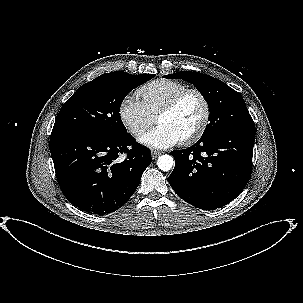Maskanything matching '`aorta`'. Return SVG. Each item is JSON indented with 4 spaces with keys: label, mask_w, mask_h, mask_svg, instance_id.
<instances>
[{
    "label": "aorta",
    "mask_w": 303,
    "mask_h": 303,
    "mask_svg": "<svg viewBox=\"0 0 303 303\" xmlns=\"http://www.w3.org/2000/svg\"><path fill=\"white\" fill-rule=\"evenodd\" d=\"M173 165H174L173 157L167 154L160 156L157 161V166L162 171L171 170Z\"/></svg>",
    "instance_id": "1"
}]
</instances>
